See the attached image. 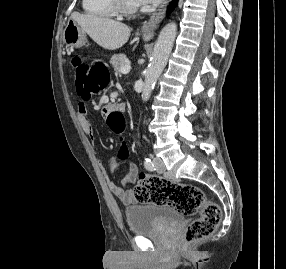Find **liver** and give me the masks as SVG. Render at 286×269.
I'll list each match as a JSON object with an SVG mask.
<instances>
[{"mask_svg": "<svg viewBox=\"0 0 286 269\" xmlns=\"http://www.w3.org/2000/svg\"><path fill=\"white\" fill-rule=\"evenodd\" d=\"M74 20L99 46L116 50L121 48L129 39L130 28L121 22L94 14H71Z\"/></svg>", "mask_w": 286, "mask_h": 269, "instance_id": "1", "label": "liver"}]
</instances>
